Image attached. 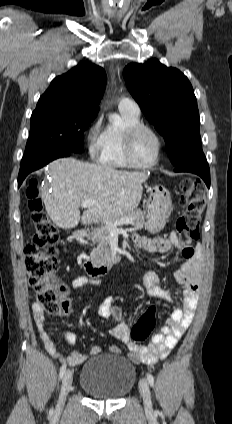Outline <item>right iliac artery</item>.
Returning a JSON list of instances; mask_svg holds the SVG:
<instances>
[{"instance_id":"82829eb1","label":"right iliac artery","mask_w":232,"mask_h":424,"mask_svg":"<svg viewBox=\"0 0 232 424\" xmlns=\"http://www.w3.org/2000/svg\"><path fill=\"white\" fill-rule=\"evenodd\" d=\"M65 371H66V363H64L60 368V373H59L60 379H62V377L64 376Z\"/></svg>"}]
</instances>
